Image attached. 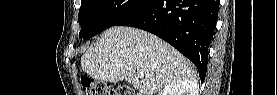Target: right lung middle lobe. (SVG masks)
<instances>
[{
  "label": "right lung middle lobe",
  "instance_id": "dd1d6c3e",
  "mask_svg": "<svg viewBox=\"0 0 277 95\" xmlns=\"http://www.w3.org/2000/svg\"><path fill=\"white\" fill-rule=\"evenodd\" d=\"M143 0H82L78 21L79 37L89 39L103 30L117 25Z\"/></svg>",
  "mask_w": 277,
  "mask_h": 95
}]
</instances>
